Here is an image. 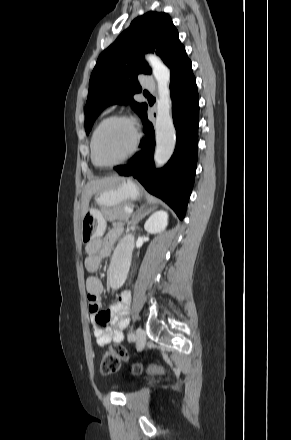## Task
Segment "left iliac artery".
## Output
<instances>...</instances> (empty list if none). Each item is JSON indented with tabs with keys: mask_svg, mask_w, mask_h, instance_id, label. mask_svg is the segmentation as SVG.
<instances>
[{
	"mask_svg": "<svg viewBox=\"0 0 291 440\" xmlns=\"http://www.w3.org/2000/svg\"><path fill=\"white\" fill-rule=\"evenodd\" d=\"M135 339H136V337H135L134 333H129L128 334V340L135 341Z\"/></svg>",
	"mask_w": 291,
	"mask_h": 440,
	"instance_id": "44dca946",
	"label": "left iliac artery"
}]
</instances>
